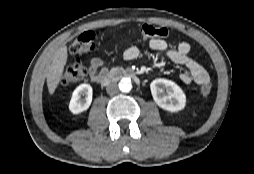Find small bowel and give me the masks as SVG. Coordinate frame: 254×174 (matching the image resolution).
Instances as JSON below:
<instances>
[{
    "label": "small bowel",
    "instance_id": "small-bowel-1",
    "mask_svg": "<svg viewBox=\"0 0 254 174\" xmlns=\"http://www.w3.org/2000/svg\"><path fill=\"white\" fill-rule=\"evenodd\" d=\"M149 46L155 51L164 53L173 63L184 66L187 69V71L180 74V79L183 83L202 85L209 81L205 68L189 56L190 45L187 42H181L175 47H170L165 40L156 38L149 41ZM140 56L141 51L136 46L129 47L124 52V59L126 60H135ZM106 72L107 65L104 60L100 58L91 59L89 77L93 82H98L100 77Z\"/></svg>",
    "mask_w": 254,
    "mask_h": 174
}]
</instances>
